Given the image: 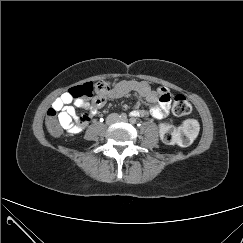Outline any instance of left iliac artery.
I'll use <instances>...</instances> for the list:
<instances>
[{
    "label": "left iliac artery",
    "mask_w": 243,
    "mask_h": 243,
    "mask_svg": "<svg viewBox=\"0 0 243 243\" xmlns=\"http://www.w3.org/2000/svg\"><path fill=\"white\" fill-rule=\"evenodd\" d=\"M130 123H131V124H135V123H136V119H135V118H131V119H130Z\"/></svg>",
    "instance_id": "left-iliac-artery-1"
}]
</instances>
